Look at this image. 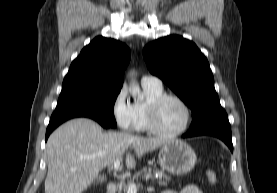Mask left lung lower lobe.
I'll return each mask as SVG.
<instances>
[{"instance_id":"1","label":"left lung lower lobe","mask_w":277,"mask_h":193,"mask_svg":"<svg viewBox=\"0 0 277 193\" xmlns=\"http://www.w3.org/2000/svg\"><path fill=\"white\" fill-rule=\"evenodd\" d=\"M201 135H210L221 139L233 152L231 126L227 114L208 119L196 127L191 128L186 134L183 135V137L186 138Z\"/></svg>"}]
</instances>
